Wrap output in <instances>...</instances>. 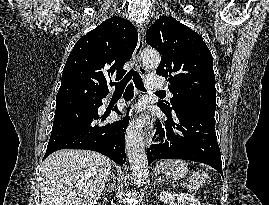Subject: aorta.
<instances>
[{"label": "aorta", "mask_w": 269, "mask_h": 205, "mask_svg": "<svg viewBox=\"0 0 269 205\" xmlns=\"http://www.w3.org/2000/svg\"><path fill=\"white\" fill-rule=\"evenodd\" d=\"M143 64L149 68H157L160 64V55L156 50L146 49L141 55ZM145 117H138L129 125L126 132V150L130 167L136 185L141 186L148 176V162L143 141V125Z\"/></svg>", "instance_id": "1"}]
</instances>
